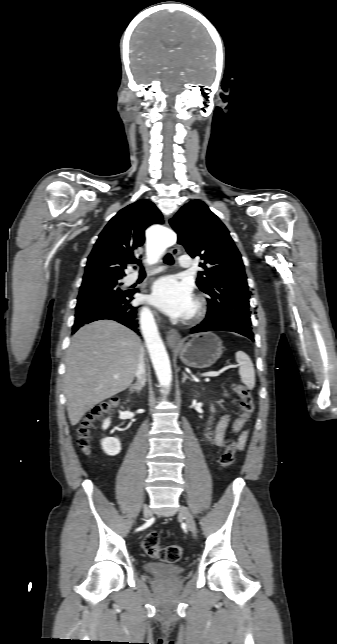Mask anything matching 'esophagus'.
<instances>
[{
	"label": "esophagus",
	"mask_w": 337,
	"mask_h": 644,
	"mask_svg": "<svg viewBox=\"0 0 337 644\" xmlns=\"http://www.w3.org/2000/svg\"><path fill=\"white\" fill-rule=\"evenodd\" d=\"M170 253L173 256H177L179 253V249L177 247H173L170 249ZM167 342L171 346H176L181 343V336L176 329L174 328L169 329V331L167 332Z\"/></svg>",
	"instance_id": "esophagus-1"
}]
</instances>
